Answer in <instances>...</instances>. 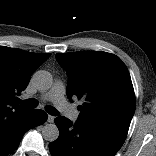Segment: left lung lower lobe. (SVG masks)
Here are the masks:
<instances>
[{"label": "left lung lower lobe", "mask_w": 156, "mask_h": 156, "mask_svg": "<svg viewBox=\"0 0 156 156\" xmlns=\"http://www.w3.org/2000/svg\"><path fill=\"white\" fill-rule=\"evenodd\" d=\"M59 137L49 144L52 156H114L125 139L115 133L86 127L65 117H57Z\"/></svg>", "instance_id": "obj_1"}]
</instances>
